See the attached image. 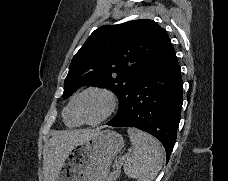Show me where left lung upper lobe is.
<instances>
[{
	"label": "left lung upper lobe",
	"instance_id": "obj_1",
	"mask_svg": "<svg viewBox=\"0 0 228 181\" xmlns=\"http://www.w3.org/2000/svg\"><path fill=\"white\" fill-rule=\"evenodd\" d=\"M170 43L166 31L148 19L96 29L73 57L64 81V98L85 85L106 87L119 99L120 120L143 69Z\"/></svg>",
	"mask_w": 228,
	"mask_h": 181
}]
</instances>
